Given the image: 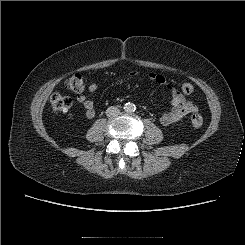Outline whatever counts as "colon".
<instances>
[{
    "label": "colon",
    "instance_id": "1",
    "mask_svg": "<svg viewBox=\"0 0 245 245\" xmlns=\"http://www.w3.org/2000/svg\"><path fill=\"white\" fill-rule=\"evenodd\" d=\"M66 87L73 91L80 93L84 89V81L80 74H74L69 77L66 81ZM181 90L185 95H190L193 93V85L191 83L185 82L181 86ZM72 105V100L68 96L54 94L50 99V107L54 113H64L67 112ZM191 124L194 128H200L203 124V118L200 114H193L191 116Z\"/></svg>",
    "mask_w": 245,
    "mask_h": 245
}]
</instances>
